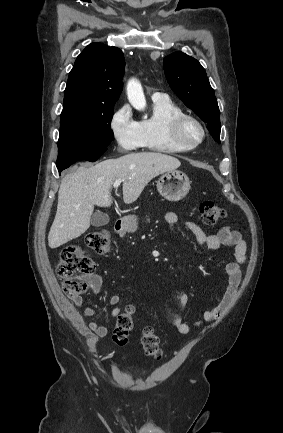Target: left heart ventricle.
Returning <instances> with one entry per match:
<instances>
[{
  "label": "left heart ventricle",
  "mask_w": 283,
  "mask_h": 433,
  "mask_svg": "<svg viewBox=\"0 0 283 433\" xmlns=\"http://www.w3.org/2000/svg\"><path fill=\"white\" fill-rule=\"evenodd\" d=\"M200 130L193 123L186 124L181 130V138L187 143L191 144L200 138Z\"/></svg>",
  "instance_id": "1"
}]
</instances>
